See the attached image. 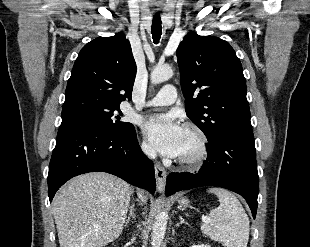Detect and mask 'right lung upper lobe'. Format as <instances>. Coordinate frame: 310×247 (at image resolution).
I'll use <instances>...</instances> for the list:
<instances>
[{"instance_id": "right-lung-upper-lobe-1", "label": "right lung upper lobe", "mask_w": 310, "mask_h": 247, "mask_svg": "<svg viewBox=\"0 0 310 247\" xmlns=\"http://www.w3.org/2000/svg\"><path fill=\"white\" fill-rule=\"evenodd\" d=\"M135 76V60L123 33L96 38L75 60L62 110L76 106L119 108L126 97L131 99Z\"/></svg>"}]
</instances>
